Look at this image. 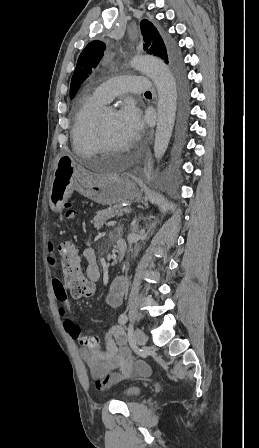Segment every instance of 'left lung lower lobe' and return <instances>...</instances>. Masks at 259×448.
<instances>
[{
	"label": "left lung lower lobe",
	"mask_w": 259,
	"mask_h": 448,
	"mask_svg": "<svg viewBox=\"0 0 259 448\" xmlns=\"http://www.w3.org/2000/svg\"><path fill=\"white\" fill-rule=\"evenodd\" d=\"M174 57L171 61V68L174 73L178 98V123L175 142V154L178 156L184 150L185 136L189 130L190 117V88L187 78V72L183 63L182 56L173 48Z\"/></svg>",
	"instance_id": "0a47b994"
}]
</instances>
